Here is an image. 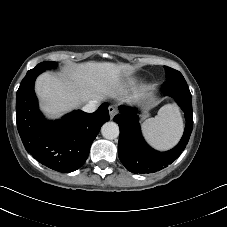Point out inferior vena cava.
Here are the masks:
<instances>
[{
	"mask_svg": "<svg viewBox=\"0 0 227 227\" xmlns=\"http://www.w3.org/2000/svg\"><path fill=\"white\" fill-rule=\"evenodd\" d=\"M99 105L98 101H90L86 105L83 106L82 110L86 113H92L94 112Z\"/></svg>",
	"mask_w": 227,
	"mask_h": 227,
	"instance_id": "obj_1",
	"label": "inferior vena cava"
}]
</instances>
